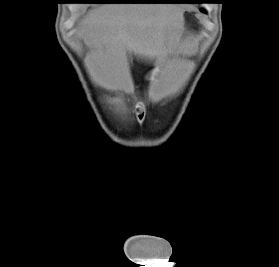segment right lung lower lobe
<instances>
[{
  "instance_id": "right-lung-lower-lobe-1",
  "label": "right lung lower lobe",
  "mask_w": 279,
  "mask_h": 267,
  "mask_svg": "<svg viewBox=\"0 0 279 267\" xmlns=\"http://www.w3.org/2000/svg\"><path fill=\"white\" fill-rule=\"evenodd\" d=\"M142 1V0H140ZM82 3H141L139 1H131V2H104L103 0H84Z\"/></svg>"
}]
</instances>
